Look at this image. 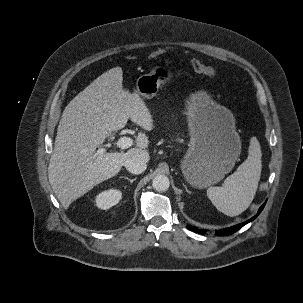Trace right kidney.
<instances>
[{"mask_svg": "<svg viewBox=\"0 0 303 303\" xmlns=\"http://www.w3.org/2000/svg\"><path fill=\"white\" fill-rule=\"evenodd\" d=\"M122 197L121 191L117 189H109L99 193L95 198L96 206L100 209L107 210L118 204Z\"/></svg>", "mask_w": 303, "mask_h": 303, "instance_id": "1", "label": "right kidney"}]
</instances>
